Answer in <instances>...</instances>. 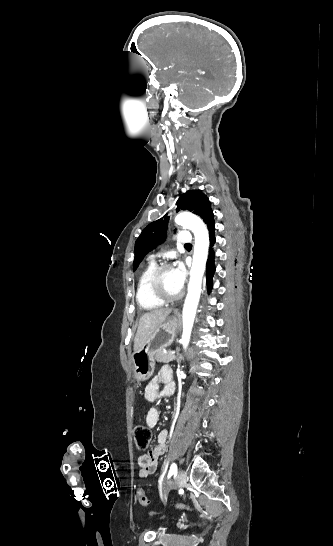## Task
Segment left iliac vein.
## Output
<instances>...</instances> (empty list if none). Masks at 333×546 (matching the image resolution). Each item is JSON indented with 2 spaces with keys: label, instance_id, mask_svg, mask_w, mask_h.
Segmentation results:
<instances>
[{
  "label": "left iliac vein",
  "instance_id": "4c4485c4",
  "mask_svg": "<svg viewBox=\"0 0 333 546\" xmlns=\"http://www.w3.org/2000/svg\"><path fill=\"white\" fill-rule=\"evenodd\" d=\"M186 478H187L186 472L184 470H180L176 480L167 484L166 490L170 491L171 489H177L178 487L184 485L186 482Z\"/></svg>",
  "mask_w": 333,
  "mask_h": 546
}]
</instances>
